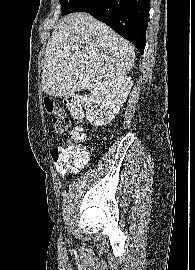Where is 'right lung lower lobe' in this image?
Wrapping results in <instances>:
<instances>
[{
    "label": "right lung lower lobe",
    "instance_id": "obj_1",
    "mask_svg": "<svg viewBox=\"0 0 195 270\" xmlns=\"http://www.w3.org/2000/svg\"><path fill=\"white\" fill-rule=\"evenodd\" d=\"M150 0H78L71 12H87L131 41L140 54L146 44Z\"/></svg>",
    "mask_w": 195,
    "mask_h": 270
}]
</instances>
